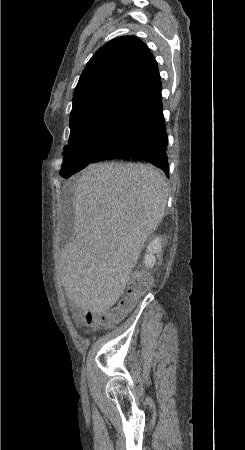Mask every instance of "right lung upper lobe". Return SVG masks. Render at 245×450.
<instances>
[{
	"mask_svg": "<svg viewBox=\"0 0 245 450\" xmlns=\"http://www.w3.org/2000/svg\"><path fill=\"white\" fill-rule=\"evenodd\" d=\"M161 98L157 63L138 38L123 36L89 60L74 91L71 117L94 105H117L140 112Z\"/></svg>",
	"mask_w": 245,
	"mask_h": 450,
	"instance_id": "cb5924a9",
	"label": "right lung upper lobe"
}]
</instances>
